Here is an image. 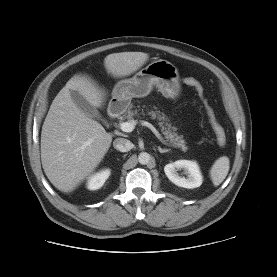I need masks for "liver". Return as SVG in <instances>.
<instances>
[{"instance_id": "obj_1", "label": "liver", "mask_w": 277, "mask_h": 277, "mask_svg": "<svg viewBox=\"0 0 277 277\" xmlns=\"http://www.w3.org/2000/svg\"><path fill=\"white\" fill-rule=\"evenodd\" d=\"M143 52L109 54L104 66L113 77L137 71L148 59ZM78 91L93 107H101L105 93L89 77L74 75L54 98L41 132V162L58 190L73 191L92 175L110 148L113 134L76 106L70 91Z\"/></svg>"}]
</instances>
